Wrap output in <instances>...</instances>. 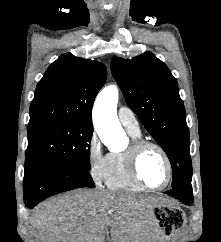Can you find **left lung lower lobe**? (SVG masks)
<instances>
[{
  "instance_id": "0a47b994",
  "label": "left lung lower lobe",
  "mask_w": 221,
  "mask_h": 242,
  "mask_svg": "<svg viewBox=\"0 0 221 242\" xmlns=\"http://www.w3.org/2000/svg\"><path fill=\"white\" fill-rule=\"evenodd\" d=\"M167 195L178 198L184 204H192L193 193L191 183L183 184L181 186L172 188L171 190L165 192Z\"/></svg>"
}]
</instances>
